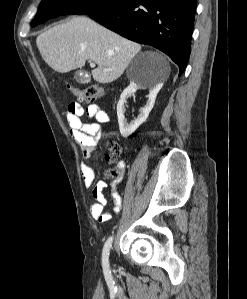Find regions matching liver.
<instances>
[{"instance_id":"liver-1","label":"liver","mask_w":247,"mask_h":299,"mask_svg":"<svg viewBox=\"0 0 247 299\" xmlns=\"http://www.w3.org/2000/svg\"><path fill=\"white\" fill-rule=\"evenodd\" d=\"M36 44L42 59L55 71L67 73L82 68L87 60L98 67L92 70L93 79L110 83L125 71L131 59L141 50L130 41L84 16L73 17L41 33ZM163 68V80L170 73L166 58L156 53Z\"/></svg>"}]
</instances>
